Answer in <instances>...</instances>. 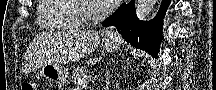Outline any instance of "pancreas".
Returning a JSON list of instances; mask_svg holds the SVG:
<instances>
[{"label": "pancreas", "mask_w": 216, "mask_h": 90, "mask_svg": "<svg viewBox=\"0 0 216 90\" xmlns=\"http://www.w3.org/2000/svg\"><path fill=\"white\" fill-rule=\"evenodd\" d=\"M85 76H87L85 68H76V70H73L72 72V82H74V84H78L79 80H82Z\"/></svg>", "instance_id": "obj_1"}]
</instances>
